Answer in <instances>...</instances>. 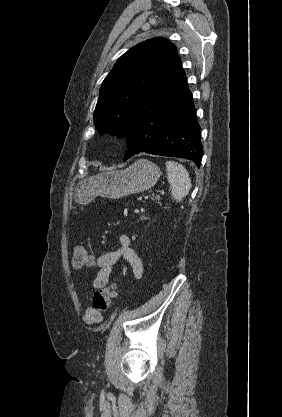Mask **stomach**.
Segmentation results:
<instances>
[{
	"instance_id": "stomach-1",
	"label": "stomach",
	"mask_w": 282,
	"mask_h": 417,
	"mask_svg": "<svg viewBox=\"0 0 282 417\" xmlns=\"http://www.w3.org/2000/svg\"><path fill=\"white\" fill-rule=\"evenodd\" d=\"M161 174L157 164L139 158L125 170H103L90 178H83L75 188L76 202L88 204L95 196L122 198L127 194L143 192L156 184Z\"/></svg>"
}]
</instances>
